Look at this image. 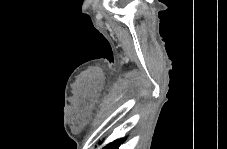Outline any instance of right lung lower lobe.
<instances>
[{"instance_id":"right-lung-lower-lobe-1","label":"right lung lower lobe","mask_w":227,"mask_h":149,"mask_svg":"<svg viewBox=\"0 0 227 149\" xmlns=\"http://www.w3.org/2000/svg\"><path fill=\"white\" fill-rule=\"evenodd\" d=\"M125 141V138L123 139H119V140H115L114 142L108 144L107 146H105V149H118V147L120 146V144H122Z\"/></svg>"}]
</instances>
